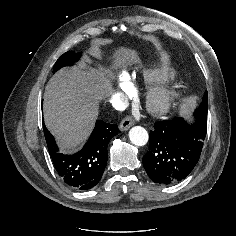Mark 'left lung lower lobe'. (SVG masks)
I'll return each mask as SVG.
<instances>
[{
  "mask_svg": "<svg viewBox=\"0 0 236 236\" xmlns=\"http://www.w3.org/2000/svg\"><path fill=\"white\" fill-rule=\"evenodd\" d=\"M207 132V116L193 124L182 118L155 123L143 166L152 181L170 185L184 179L197 164Z\"/></svg>",
  "mask_w": 236,
  "mask_h": 236,
  "instance_id": "0a47b994",
  "label": "left lung lower lobe"
}]
</instances>
